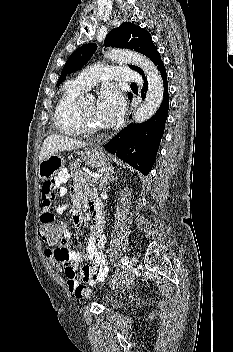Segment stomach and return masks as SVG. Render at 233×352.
<instances>
[{
    "label": "stomach",
    "mask_w": 233,
    "mask_h": 352,
    "mask_svg": "<svg viewBox=\"0 0 233 352\" xmlns=\"http://www.w3.org/2000/svg\"><path fill=\"white\" fill-rule=\"evenodd\" d=\"M83 161L90 167H103L108 165L109 158L97 147L87 148L82 153ZM64 159L59 155H51L40 162L38 176L41 180L52 179L63 167Z\"/></svg>",
    "instance_id": "stomach-1"
}]
</instances>
